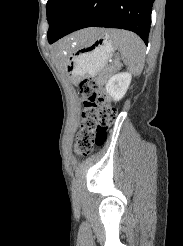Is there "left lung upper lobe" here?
Listing matches in <instances>:
<instances>
[{"instance_id":"1","label":"left lung upper lobe","mask_w":183,"mask_h":246,"mask_svg":"<svg viewBox=\"0 0 183 246\" xmlns=\"http://www.w3.org/2000/svg\"><path fill=\"white\" fill-rule=\"evenodd\" d=\"M81 0H48V41L56 37L74 14Z\"/></svg>"}]
</instances>
